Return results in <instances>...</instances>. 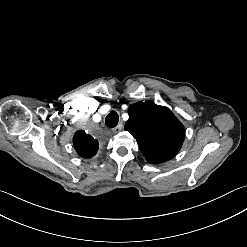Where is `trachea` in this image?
Returning <instances> with one entry per match:
<instances>
[{
  "label": "trachea",
  "instance_id": "3493384b",
  "mask_svg": "<svg viewBox=\"0 0 247 247\" xmlns=\"http://www.w3.org/2000/svg\"><path fill=\"white\" fill-rule=\"evenodd\" d=\"M119 122V116L116 111H112L106 117L105 123L108 127L113 128L117 126Z\"/></svg>",
  "mask_w": 247,
  "mask_h": 247
}]
</instances>
